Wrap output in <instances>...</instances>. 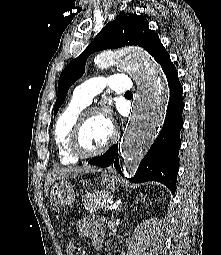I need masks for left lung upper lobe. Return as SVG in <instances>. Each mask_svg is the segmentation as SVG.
I'll use <instances>...</instances> for the list:
<instances>
[{
    "label": "left lung upper lobe",
    "mask_w": 221,
    "mask_h": 255,
    "mask_svg": "<svg viewBox=\"0 0 221 255\" xmlns=\"http://www.w3.org/2000/svg\"><path fill=\"white\" fill-rule=\"evenodd\" d=\"M126 45L144 48L154 58L163 47L158 35L148 27L143 16L120 14L106 24L91 44L62 71L58 81V96L54 105L56 114L70 86L84 74L85 63L90 54L104 49H116Z\"/></svg>",
    "instance_id": "5c2ea615"
}]
</instances>
